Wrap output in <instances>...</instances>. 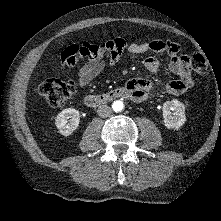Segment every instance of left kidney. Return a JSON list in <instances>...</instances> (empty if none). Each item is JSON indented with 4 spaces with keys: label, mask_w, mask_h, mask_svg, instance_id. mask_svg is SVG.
<instances>
[{
    "label": "left kidney",
    "mask_w": 221,
    "mask_h": 221,
    "mask_svg": "<svg viewBox=\"0 0 221 221\" xmlns=\"http://www.w3.org/2000/svg\"><path fill=\"white\" fill-rule=\"evenodd\" d=\"M163 122L169 129H178L186 121L185 105L178 100L166 101L163 105Z\"/></svg>",
    "instance_id": "1"
}]
</instances>
